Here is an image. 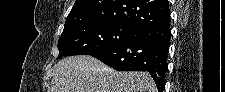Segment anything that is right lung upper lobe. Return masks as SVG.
Masks as SVG:
<instances>
[{"mask_svg":"<svg viewBox=\"0 0 225 92\" xmlns=\"http://www.w3.org/2000/svg\"><path fill=\"white\" fill-rule=\"evenodd\" d=\"M168 21V0H76L64 29L84 23L120 22L139 30Z\"/></svg>","mask_w":225,"mask_h":92,"instance_id":"cb5924a9","label":"right lung upper lobe"}]
</instances>
